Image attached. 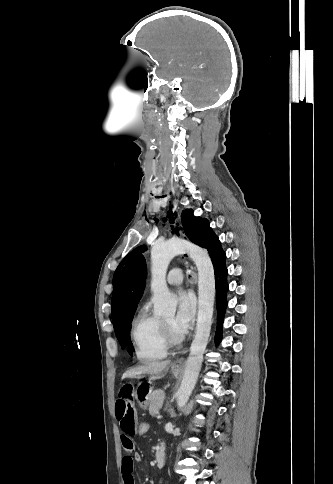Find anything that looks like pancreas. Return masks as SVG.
<instances>
[{"mask_svg":"<svg viewBox=\"0 0 333 484\" xmlns=\"http://www.w3.org/2000/svg\"><path fill=\"white\" fill-rule=\"evenodd\" d=\"M164 401V392L158 389L152 392L149 402V413L151 416H156L159 413V409L162 407Z\"/></svg>","mask_w":333,"mask_h":484,"instance_id":"obj_1","label":"pancreas"}]
</instances>
